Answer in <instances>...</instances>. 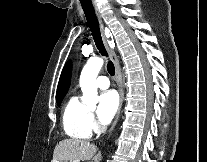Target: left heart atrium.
I'll list each match as a JSON object with an SVG mask.
<instances>
[{"label":"left heart atrium","mask_w":207,"mask_h":162,"mask_svg":"<svg viewBox=\"0 0 207 162\" xmlns=\"http://www.w3.org/2000/svg\"><path fill=\"white\" fill-rule=\"evenodd\" d=\"M119 96L114 90L104 92L100 96L98 118L102 124H108L118 111Z\"/></svg>","instance_id":"1"}]
</instances>
